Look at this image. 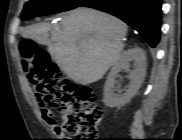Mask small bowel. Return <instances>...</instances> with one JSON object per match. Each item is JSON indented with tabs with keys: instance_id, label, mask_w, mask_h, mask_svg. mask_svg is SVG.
<instances>
[{
	"instance_id": "obj_1",
	"label": "small bowel",
	"mask_w": 182,
	"mask_h": 140,
	"mask_svg": "<svg viewBox=\"0 0 182 140\" xmlns=\"http://www.w3.org/2000/svg\"><path fill=\"white\" fill-rule=\"evenodd\" d=\"M39 106L41 108V116L43 120L55 131L57 135H61V129L58 126L56 119L54 118L53 112L46 107V104L38 100Z\"/></svg>"
}]
</instances>
